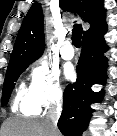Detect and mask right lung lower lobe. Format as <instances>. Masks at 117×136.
I'll return each mask as SVG.
<instances>
[{
    "label": "right lung lower lobe",
    "instance_id": "98d812e1",
    "mask_svg": "<svg viewBox=\"0 0 117 136\" xmlns=\"http://www.w3.org/2000/svg\"><path fill=\"white\" fill-rule=\"evenodd\" d=\"M107 26L82 40L81 57L77 65V81L69 84L64 91L63 111L58 128L64 136H82L88 126L91 103L100 102L102 93H95L91 86L104 83L106 79L107 50L103 35Z\"/></svg>",
    "mask_w": 117,
    "mask_h": 136
}]
</instances>
